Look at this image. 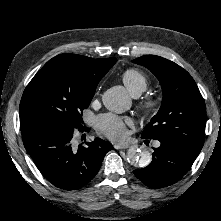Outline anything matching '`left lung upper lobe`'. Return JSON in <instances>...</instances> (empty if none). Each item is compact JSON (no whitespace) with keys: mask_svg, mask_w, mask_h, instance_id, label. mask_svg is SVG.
<instances>
[{"mask_svg":"<svg viewBox=\"0 0 221 221\" xmlns=\"http://www.w3.org/2000/svg\"><path fill=\"white\" fill-rule=\"evenodd\" d=\"M148 68L163 90L159 112L151 119L141 137L171 142L199 154L206 126L204 99L190 74L165 58L145 55L133 60Z\"/></svg>","mask_w":221,"mask_h":221,"instance_id":"left-lung-upper-lobe-1","label":"left lung upper lobe"}]
</instances>
